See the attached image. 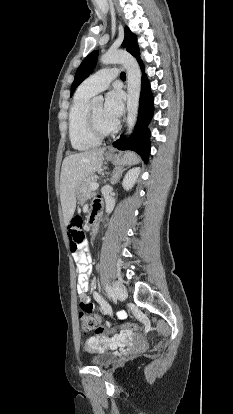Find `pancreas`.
<instances>
[{"label":"pancreas","instance_id":"1","mask_svg":"<svg viewBox=\"0 0 233 414\" xmlns=\"http://www.w3.org/2000/svg\"><path fill=\"white\" fill-rule=\"evenodd\" d=\"M97 181V176L91 175L84 182L87 188V195L90 196L92 193L91 184Z\"/></svg>","mask_w":233,"mask_h":414}]
</instances>
